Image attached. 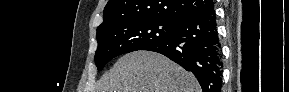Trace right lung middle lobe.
<instances>
[{"mask_svg":"<svg viewBox=\"0 0 289 92\" xmlns=\"http://www.w3.org/2000/svg\"><path fill=\"white\" fill-rule=\"evenodd\" d=\"M177 22L160 18H140L121 21L97 31L98 48L95 63L98 71L114 57L141 50L170 38Z\"/></svg>","mask_w":289,"mask_h":92,"instance_id":"obj_1","label":"right lung middle lobe"}]
</instances>
